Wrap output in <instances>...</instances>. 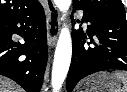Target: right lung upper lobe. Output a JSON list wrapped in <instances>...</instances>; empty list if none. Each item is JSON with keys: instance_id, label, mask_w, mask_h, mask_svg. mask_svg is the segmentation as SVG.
I'll use <instances>...</instances> for the list:
<instances>
[{"instance_id": "obj_1", "label": "right lung upper lobe", "mask_w": 127, "mask_h": 92, "mask_svg": "<svg viewBox=\"0 0 127 92\" xmlns=\"http://www.w3.org/2000/svg\"><path fill=\"white\" fill-rule=\"evenodd\" d=\"M38 0H0V22L34 10Z\"/></svg>"}]
</instances>
